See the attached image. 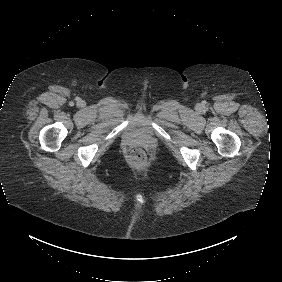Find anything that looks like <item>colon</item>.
I'll return each instance as SVG.
<instances>
[{
    "instance_id": "5ec220e1",
    "label": "colon",
    "mask_w": 282,
    "mask_h": 282,
    "mask_svg": "<svg viewBox=\"0 0 282 282\" xmlns=\"http://www.w3.org/2000/svg\"><path fill=\"white\" fill-rule=\"evenodd\" d=\"M130 160L136 166H143L149 160V153L143 147H136L130 153Z\"/></svg>"
}]
</instances>
